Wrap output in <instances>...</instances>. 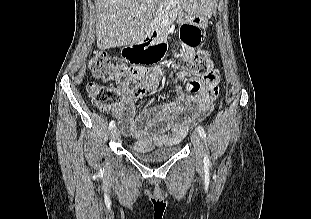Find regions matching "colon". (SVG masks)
<instances>
[{"label":"colon","mask_w":311,"mask_h":219,"mask_svg":"<svg viewBox=\"0 0 311 219\" xmlns=\"http://www.w3.org/2000/svg\"><path fill=\"white\" fill-rule=\"evenodd\" d=\"M200 39L199 30L194 26L186 25L182 29V41L198 44ZM165 52V47L155 50L151 54H142L140 56H129L131 61L138 64H151L159 60ZM126 53L129 55L128 48ZM182 68L189 73L196 75H205L211 70V61L206 52L202 51L191 59H183ZM89 69L94 79L104 82H113L112 84H98L95 81H89L86 89L88 97L92 104L100 109L117 105L119 103V89L126 91H134L139 94L142 90L135 89L132 84L131 69L125 62L118 58H112L102 51L93 54L89 61ZM199 83L195 80L189 83L191 92L196 93L199 90Z\"/></svg>","instance_id":"5ec220e1"}]
</instances>
